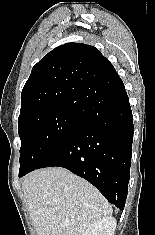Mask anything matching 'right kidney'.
I'll list each match as a JSON object with an SVG mask.
<instances>
[{"label": "right kidney", "instance_id": "ca27d5eb", "mask_svg": "<svg viewBox=\"0 0 155 235\" xmlns=\"http://www.w3.org/2000/svg\"><path fill=\"white\" fill-rule=\"evenodd\" d=\"M115 229L116 219L110 216L91 224L82 235H114Z\"/></svg>", "mask_w": 155, "mask_h": 235}]
</instances>
